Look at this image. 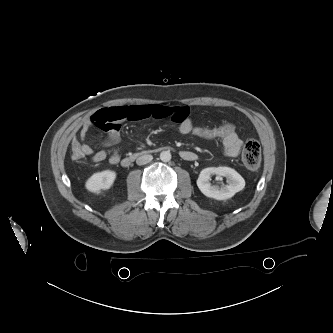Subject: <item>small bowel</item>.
I'll use <instances>...</instances> for the list:
<instances>
[{"instance_id": "obj_1", "label": "small bowel", "mask_w": 333, "mask_h": 333, "mask_svg": "<svg viewBox=\"0 0 333 333\" xmlns=\"http://www.w3.org/2000/svg\"><path fill=\"white\" fill-rule=\"evenodd\" d=\"M148 118L167 119L178 125L182 133L193 131L196 133L202 127L196 126L190 118L189 109L185 106H165L161 104H140L128 106L107 107L96 111L83 124L80 131L81 146L85 157L98 163L106 159L111 164L120 160L117 145L121 138L122 123L126 120H144ZM98 127L107 133L103 141V149L94 151L86 142L89 130ZM224 154L228 157H237L240 154L243 141L234 128L221 139ZM182 158L194 160L195 155L190 151H183Z\"/></svg>"}]
</instances>
